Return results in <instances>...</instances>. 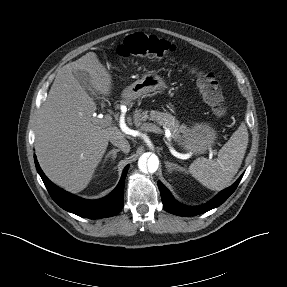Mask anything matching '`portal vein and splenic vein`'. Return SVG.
<instances>
[{
    "label": "portal vein and splenic vein",
    "instance_id": "1",
    "mask_svg": "<svg viewBox=\"0 0 287 287\" xmlns=\"http://www.w3.org/2000/svg\"><path fill=\"white\" fill-rule=\"evenodd\" d=\"M112 119H113L112 116L107 114L103 118H101L99 120V122L102 126L107 127V126H111L112 121H113ZM120 127L125 134L133 135V131L130 130L128 127H126V125L124 123H120ZM145 129L150 131V132L156 133V134H162L163 133V130L160 127L156 126L155 124H151V123L146 124ZM165 134H166V136L167 135L169 136L170 131L165 130Z\"/></svg>",
    "mask_w": 287,
    "mask_h": 287
}]
</instances>
